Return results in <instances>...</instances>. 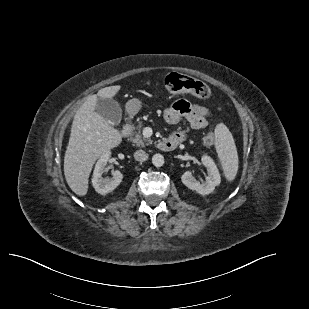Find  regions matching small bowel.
I'll return each mask as SVG.
<instances>
[{
	"label": "small bowel",
	"mask_w": 309,
	"mask_h": 309,
	"mask_svg": "<svg viewBox=\"0 0 309 309\" xmlns=\"http://www.w3.org/2000/svg\"><path fill=\"white\" fill-rule=\"evenodd\" d=\"M211 113L208 109L196 105H191L185 100L173 103L164 111V119L170 124L177 123L181 118H185L193 129H202L207 126ZM172 138H177L182 142L185 134L182 131L175 132Z\"/></svg>",
	"instance_id": "obj_1"
}]
</instances>
